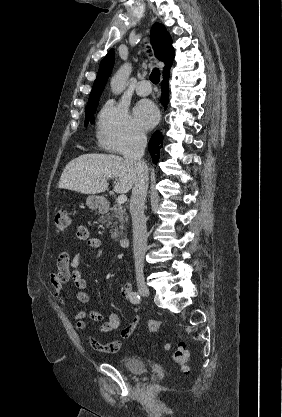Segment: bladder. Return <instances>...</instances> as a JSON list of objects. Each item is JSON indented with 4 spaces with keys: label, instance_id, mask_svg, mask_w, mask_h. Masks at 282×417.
<instances>
[{
    "label": "bladder",
    "instance_id": "31cf9c89",
    "mask_svg": "<svg viewBox=\"0 0 282 417\" xmlns=\"http://www.w3.org/2000/svg\"><path fill=\"white\" fill-rule=\"evenodd\" d=\"M118 363L124 370L134 375H141L147 371L145 361L137 356H125Z\"/></svg>",
    "mask_w": 282,
    "mask_h": 417
}]
</instances>
